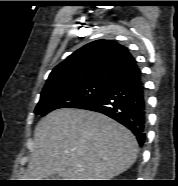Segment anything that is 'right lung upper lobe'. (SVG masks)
Masks as SVG:
<instances>
[{"mask_svg": "<svg viewBox=\"0 0 178 186\" xmlns=\"http://www.w3.org/2000/svg\"><path fill=\"white\" fill-rule=\"evenodd\" d=\"M129 50L112 40L91 42L68 56L50 73L42 92L89 83L111 84L138 71Z\"/></svg>", "mask_w": 178, "mask_h": 186, "instance_id": "right-lung-upper-lobe-1", "label": "right lung upper lobe"}]
</instances>
